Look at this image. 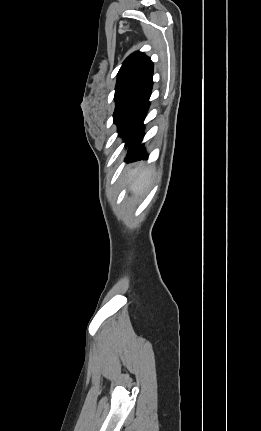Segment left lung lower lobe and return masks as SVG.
Listing matches in <instances>:
<instances>
[{"label":"left lung lower lobe","instance_id":"1","mask_svg":"<svg viewBox=\"0 0 261 431\" xmlns=\"http://www.w3.org/2000/svg\"><path fill=\"white\" fill-rule=\"evenodd\" d=\"M152 86L151 76L127 108L119 126L118 134L124 139L125 146L129 147L125 158L126 162L148 158L143 144L140 143L143 139V121L150 105L149 98Z\"/></svg>","mask_w":261,"mask_h":431}]
</instances>
